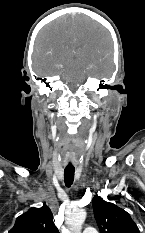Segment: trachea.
Listing matches in <instances>:
<instances>
[{
  "instance_id": "trachea-1",
  "label": "trachea",
  "mask_w": 145,
  "mask_h": 233,
  "mask_svg": "<svg viewBox=\"0 0 145 233\" xmlns=\"http://www.w3.org/2000/svg\"><path fill=\"white\" fill-rule=\"evenodd\" d=\"M75 168H65L64 170V181L67 187H70L74 181Z\"/></svg>"
}]
</instances>
